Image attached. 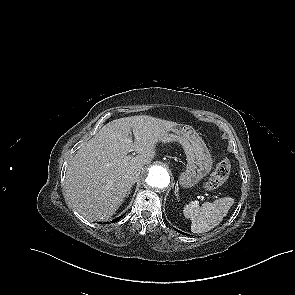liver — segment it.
Masks as SVG:
<instances>
[{
	"instance_id": "obj_1",
	"label": "liver",
	"mask_w": 295,
	"mask_h": 295,
	"mask_svg": "<svg viewBox=\"0 0 295 295\" xmlns=\"http://www.w3.org/2000/svg\"><path fill=\"white\" fill-rule=\"evenodd\" d=\"M177 125L148 115L104 125L69 162L65 189L73 208L88 220L111 218L135 183L129 178L131 173L140 174L151 163L163 134ZM133 150L138 155L128 156Z\"/></svg>"
}]
</instances>
